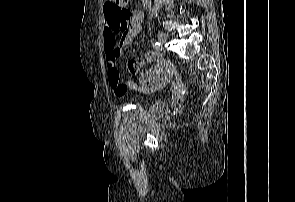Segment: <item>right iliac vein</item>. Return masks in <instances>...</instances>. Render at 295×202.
<instances>
[{"mask_svg": "<svg viewBox=\"0 0 295 202\" xmlns=\"http://www.w3.org/2000/svg\"><path fill=\"white\" fill-rule=\"evenodd\" d=\"M158 40L161 44H165L167 42V35L164 32L159 31L158 32Z\"/></svg>", "mask_w": 295, "mask_h": 202, "instance_id": "right-iliac-vein-1", "label": "right iliac vein"}]
</instances>
